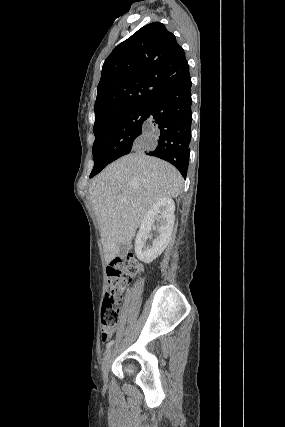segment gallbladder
Masks as SVG:
<instances>
[{"instance_id":"1","label":"gallbladder","mask_w":285,"mask_h":427,"mask_svg":"<svg viewBox=\"0 0 285 427\" xmlns=\"http://www.w3.org/2000/svg\"><path fill=\"white\" fill-rule=\"evenodd\" d=\"M119 248H120V251H121V250H122V248H123V247H122V245H120V246H119Z\"/></svg>"}]
</instances>
